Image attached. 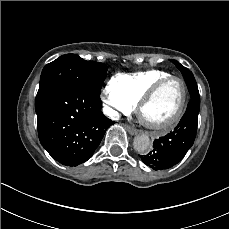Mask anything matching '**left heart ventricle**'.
<instances>
[{"mask_svg": "<svg viewBox=\"0 0 229 229\" xmlns=\"http://www.w3.org/2000/svg\"><path fill=\"white\" fill-rule=\"evenodd\" d=\"M185 104V89L175 79L160 88L144 108L146 120L155 125H164L174 120Z\"/></svg>", "mask_w": 229, "mask_h": 229, "instance_id": "1", "label": "left heart ventricle"}]
</instances>
